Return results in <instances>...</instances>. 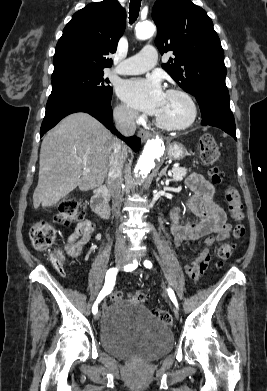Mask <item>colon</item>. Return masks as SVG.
<instances>
[{"mask_svg":"<svg viewBox=\"0 0 267 391\" xmlns=\"http://www.w3.org/2000/svg\"><path fill=\"white\" fill-rule=\"evenodd\" d=\"M200 156L204 164L210 166V178L214 184H219L223 175L222 172L215 166L219 157V145L213 136L205 134L200 139ZM225 200L233 220L240 222L244 218L243 205L238 190L230 186L225 191ZM82 215L81 203L79 200L69 198L63 200L54 216L56 223L63 226H70L77 222ZM245 235V226L238 223L233 229V236L236 239L242 238ZM56 233L50 222L42 220L38 221L30 229V239L33 247L39 251H45L52 247L55 242ZM234 246L231 243L222 244L217 251L218 258L221 262L228 260L233 253ZM50 261L57 269L62 267V257L59 253H53L50 256ZM123 295L120 291H114L110 298L114 301L122 299ZM127 298L137 303H142L146 299V295L141 291H133L127 294ZM153 315L156 316L164 324L169 325L172 322V317L168 311L154 309Z\"/></svg>","mask_w":267,"mask_h":391,"instance_id":"5ec220e1","label":"colon"}]
</instances>
